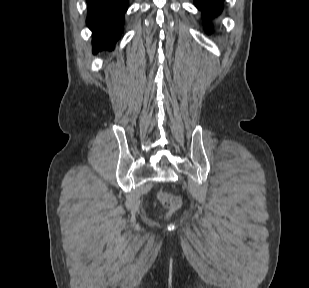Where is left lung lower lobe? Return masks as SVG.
<instances>
[{"instance_id": "obj_1", "label": "left lung lower lobe", "mask_w": 309, "mask_h": 288, "mask_svg": "<svg viewBox=\"0 0 309 288\" xmlns=\"http://www.w3.org/2000/svg\"><path fill=\"white\" fill-rule=\"evenodd\" d=\"M223 1L224 0H194L196 7L209 17L216 16L221 12ZM206 29L210 32L208 26Z\"/></svg>"}]
</instances>
